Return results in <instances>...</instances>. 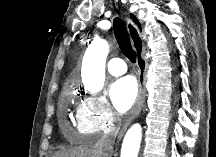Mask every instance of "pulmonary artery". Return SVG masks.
<instances>
[{
  "label": "pulmonary artery",
  "instance_id": "pulmonary-artery-1",
  "mask_svg": "<svg viewBox=\"0 0 216 157\" xmlns=\"http://www.w3.org/2000/svg\"><path fill=\"white\" fill-rule=\"evenodd\" d=\"M107 70L114 76H119L127 71L126 65L121 58L115 57L108 61Z\"/></svg>",
  "mask_w": 216,
  "mask_h": 157
}]
</instances>
